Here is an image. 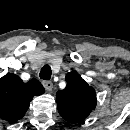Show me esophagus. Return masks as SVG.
Segmentation results:
<instances>
[{
	"mask_svg": "<svg viewBox=\"0 0 130 130\" xmlns=\"http://www.w3.org/2000/svg\"><path fill=\"white\" fill-rule=\"evenodd\" d=\"M42 84L47 91H51L53 88V83L51 81H43Z\"/></svg>",
	"mask_w": 130,
	"mask_h": 130,
	"instance_id": "1",
	"label": "esophagus"
}]
</instances>
